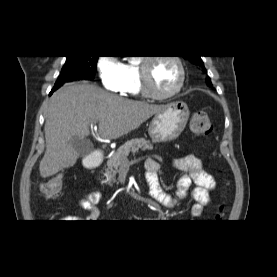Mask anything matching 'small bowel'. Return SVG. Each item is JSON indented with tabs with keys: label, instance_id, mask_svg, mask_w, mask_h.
<instances>
[{
	"label": "small bowel",
	"instance_id": "small-bowel-1",
	"mask_svg": "<svg viewBox=\"0 0 277 277\" xmlns=\"http://www.w3.org/2000/svg\"><path fill=\"white\" fill-rule=\"evenodd\" d=\"M172 165L184 173L176 182L174 195L165 193L159 184L157 173L160 165L158 161L154 158H148L146 160L145 180L150 196L162 206L173 209L191 194L195 200V204L191 207L190 214L193 218L200 217L204 208L211 201V191L216 187L214 177L206 172L201 160L194 155H185L176 158L172 161ZM102 199L103 196L99 191H92L78 198L77 202L79 206L89 212L87 220L90 222L99 218L100 211L97 205ZM71 218L70 216H65L62 219L69 220Z\"/></svg>",
	"mask_w": 277,
	"mask_h": 277
}]
</instances>
